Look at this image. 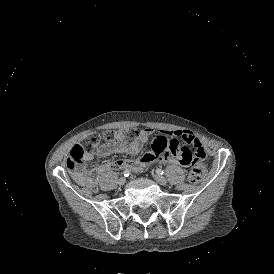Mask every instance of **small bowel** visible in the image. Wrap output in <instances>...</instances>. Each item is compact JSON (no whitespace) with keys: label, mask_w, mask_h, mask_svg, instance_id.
I'll return each instance as SVG.
<instances>
[{"label":"small bowel","mask_w":274,"mask_h":274,"mask_svg":"<svg viewBox=\"0 0 274 274\" xmlns=\"http://www.w3.org/2000/svg\"><path fill=\"white\" fill-rule=\"evenodd\" d=\"M154 132L153 128L145 127L139 131L138 136L130 143L122 141L102 143L95 148V152L85 153L82 159L84 162H89L93 159L94 154L100 157L123 152L136 154L150 140ZM162 133L182 139L184 142L190 144L194 151L183 142L169 139L166 135H161L154 141L150 153L148 151H141L136 160L117 159L111 163H104L96 168V173L101 174L112 169L126 168L146 170L149 166L161 163L162 160L167 163L190 166L195 161L197 155H204L206 157L205 147L194 133L183 130L162 131ZM72 177L79 184H86L92 180L93 175L87 171H74Z\"/></svg>","instance_id":"obj_1"}]
</instances>
